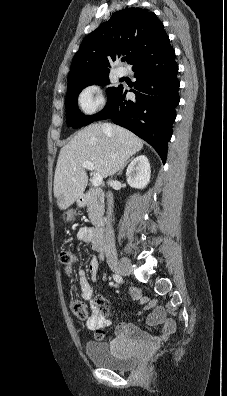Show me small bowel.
Listing matches in <instances>:
<instances>
[{
  "instance_id": "c3829d8e",
  "label": "small bowel",
  "mask_w": 227,
  "mask_h": 396,
  "mask_svg": "<svg viewBox=\"0 0 227 396\" xmlns=\"http://www.w3.org/2000/svg\"><path fill=\"white\" fill-rule=\"evenodd\" d=\"M78 238L90 244L93 249H99L93 242V230L89 227H82L78 232ZM103 259L100 254L99 258L92 257L88 264L89 276L84 272H79V289L81 297L90 300L93 295L91 282L96 281L99 267V261ZM130 296L133 301H137L146 308L152 309L148 322L150 324H163L162 331L158 336H152L141 330L132 323H120L114 332L112 338L113 343H132L144 349H156L161 343L167 341L176 329V324L172 319L166 318L163 308L157 306L156 301L149 300L141 295L138 289H132ZM110 307L108 302L101 296L94 300V310L90 318L86 322L89 330L94 332L96 341L103 342L106 340L105 329L111 325Z\"/></svg>"
}]
</instances>
